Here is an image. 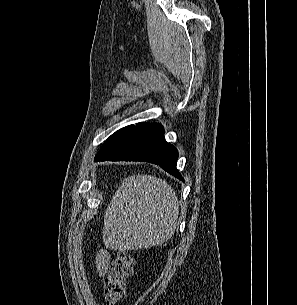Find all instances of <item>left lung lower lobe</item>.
Returning a JSON list of instances; mask_svg holds the SVG:
<instances>
[{"mask_svg": "<svg viewBox=\"0 0 297 305\" xmlns=\"http://www.w3.org/2000/svg\"><path fill=\"white\" fill-rule=\"evenodd\" d=\"M177 159V149L166 142L164 128L158 123H138L119 129L106 140L95 156V161L154 163L184 181L176 168Z\"/></svg>", "mask_w": 297, "mask_h": 305, "instance_id": "obj_1", "label": "left lung lower lobe"}]
</instances>
